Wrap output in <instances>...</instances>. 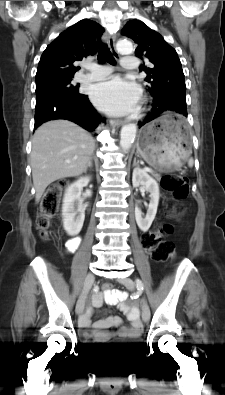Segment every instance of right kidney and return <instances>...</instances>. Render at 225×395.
Instances as JSON below:
<instances>
[{
  "label": "right kidney",
  "mask_w": 225,
  "mask_h": 395,
  "mask_svg": "<svg viewBox=\"0 0 225 395\" xmlns=\"http://www.w3.org/2000/svg\"><path fill=\"white\" fill-rule=\"evenodd\" d=\"M90 182V177H82L71 184L65 192L62 205L63 227L71 235H77L83 226L85 208L81 199V190Z\"/></svg>",
  "instance_id": "obj_1"
}]
</instances>
